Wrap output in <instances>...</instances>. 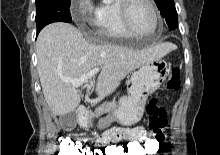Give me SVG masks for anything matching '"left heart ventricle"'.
I'll return each instance as SVG.
<instances>
[{
  "label": "left heart ventricle",
  "mask_w": 220,
  "mask_h": 155,
  "mask_svg": "<svg viewBox=\"0 0 220 155\" xmlns=\"http://www.w3.org/2000/svg\"><path fill=\"white\" fill-rule=\"evenodd\" d=\"M130 19L134 28L140 32H151L155 28L154 16L143 2H136L131 6Z\"/></svg>",
  "instance_id": "1"
}]
</instances>
